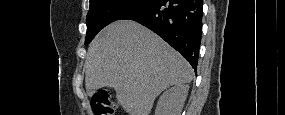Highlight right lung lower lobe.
<instances>
[{
  "label": "right lung lower lobe",
  "instance_id": "right-lung-lower-lobe-1",
  "mask_svg": "<svg viewBox=\"0 0 285 115\" xmlns=\"http://www.w3.org/2000/svg\"><path fill=\"white\" fill-rule=\"evenodd\" d=\"M202 0H152L119 20H134L157 33L197 69L202 36Z\"/></svg>",
  "mask_w": 285,
  "mask_h": 115
}]
</instances>
